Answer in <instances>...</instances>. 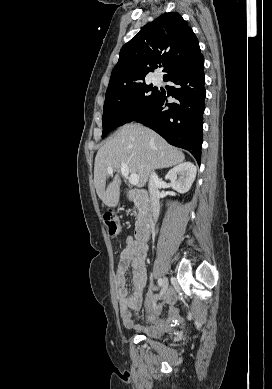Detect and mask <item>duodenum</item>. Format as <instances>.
<instances>
[{
	"label": "duodenum",
	"instance_id": "410a0bca",
	"mask_svg": "<svg viewBox=\"0 0 272 389\" xmlns=\"http://www.w3.org/2000/svg\"><path fill=\"white\" fill-rule=\"evenodd\" d=\"M128 197L140 204L142 208V214L135 229V240L146 242L149 239L153 226V213L150 207L149 194L143 189H134L128 193Z\"/></svg>",
	"mask_w": 272,
	"mask_h": 389
}]
</instances>
